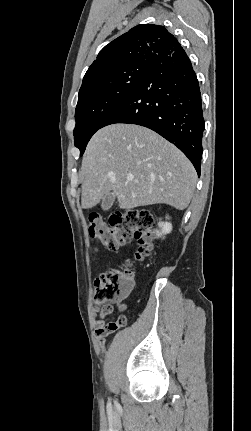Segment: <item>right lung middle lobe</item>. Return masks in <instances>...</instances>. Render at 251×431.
I'll list each match as a JSON object with an SVG mask.
<instances>
[{"mask_svg": "<svg viewBox=\"0 0 251 431\" xmlns=\"http://www.w3.org/2000/svg\"><path fill=\"white\" fill-rule=\"evenodd\" d=\"M148 64H131L79 91L76 106L74 143L80 155L93 134L108 117L135 91Z\"/></svg>", "mask_w": 251, "mask_h": 431, "instance_id": "dd1d6c3e", "label": "right lung middle lobe"}]
</instances>
